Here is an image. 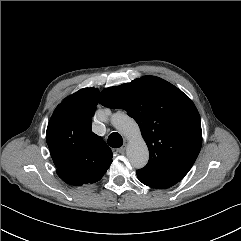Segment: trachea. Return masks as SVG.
<instances>
[{
    "mask_svg": "<svg viewBox=\"0 0 241 241\" xmlns=\"http://www.w3.org/2000/svg\"><path fill=\"white\" fill-rule=\"evenodd\" d=\"M107 143L113 148H119L123 145L122 136L117 132H113L109 135Z\"/></svg>",
    "mask_w": 241,
    "mask_h": 241,
    "instance_id": "trachea-1",
    "label": "trachea"
}]
</instances>
